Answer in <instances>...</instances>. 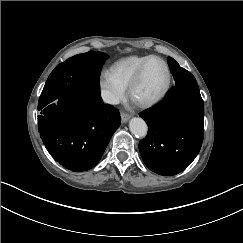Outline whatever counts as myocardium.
I'll return each instance as SVG.
<instances>
[{
  "label": "myocardium",
  "mask_w": 243,
  "mask_h": 243,
  "mask_svg": "<svg viewBox=\"0 0 243 243\" xmlns=\"http://www.w3.org/2000/svg\"><path fill=\"white\" fill-rule=\"evenodd\" d=\"M154 60L162 62L164 64V66L166 67L167 73H168L167 85H166L165 89L162 91V93L159 94L156 98L149 100V101H146V102L138 103V105L141 108H151V107L159 104L168 95V93L170 92L171 87H172L173 73H172V69H171L169 63L166 60H164L163 58L153 57L151 59L146 60L144 63H142L138 72L136 73V75L134 76L132 81L130 82L129 87H128L130 96L133 98L134 90L138 86V84L140 83V81H141V79H142V77L145 73L146 68Z\"/></svg>",
  "instance_id": "myocardium-1"
}]
</instances>
